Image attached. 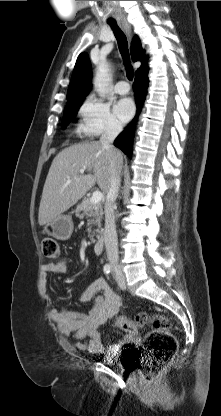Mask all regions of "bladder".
Returning <instances> with one entry per match:
<instances>
[{"label": "bladder", "instance_id": "bladder-1", "mask_svg": "<svg viewBox=\"0 0 221 416\" xmlns=\"http://www.w3.org/2000/svg\"><path fill=\"white\" fill-rule=\"evenodd\" d=\"M107 356H113V354H107ZM112 359L109 357H105V362L106 363H111Z\"/></svg>", "mask_w": 221, "mask_h": 416}]
</instances>
